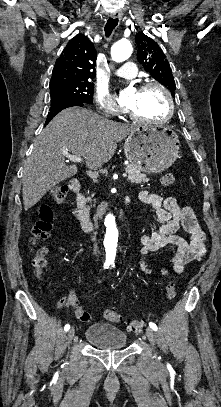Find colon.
<instances>
[{
    "label": "colon",
    "instance_id": "1",
    "mask_svg": "<svg viewBox=\"0 0 221 407\" xmlns=\"http://www.w3.org/2000/svg\"><path fill=\"white\" fill-rule=\"evenodd\" d=\"M163 186H170L175 182V175L172 172L165 173L160 180ZM67 186H56L49 190L48 194L55 204H62L67 196ZM53 213L50 208L43 206L40 209V220L35 224L32 229L33 242L36 244L42 239H46L52 229L51 219ZM47 249L40 247L35 251L33 257V265L37 270H42L46 265ZM185 260L184 258L181 259ZM166 296L169 300H172L176 295V288L173 283H168L165 288ZM76 317L83 322L91 320V314L79 307L75 306ZM104 318L110 323H117L121 320L120 314L114 309H107L104 311ZM145 322L143 320H131L128 323L127 329L133 333H141L144 330Z\"/></svg>",
    "mask_w": 221,
    "mask_h": 407
}]
</instances>
